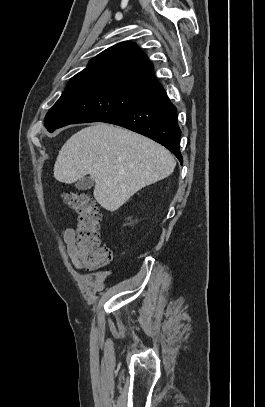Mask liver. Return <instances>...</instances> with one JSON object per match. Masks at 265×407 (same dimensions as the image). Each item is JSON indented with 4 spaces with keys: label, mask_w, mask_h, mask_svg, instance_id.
Returning a JSON list of instances; mask_svg holds the SVG:
<instances>
[{
    "label": "liver",
    "mask_w": 265,
    "mask_h": 407,
    "mask_svg": "<svg viewBox=\"0 0 265 407\" xmlns=\"http://www.w3.org/2000/svg\"><path fill=\"white\" fill-rule=\"evenodd\" d=\"M175 165L173 155L155 141L97 123L65 142L54 165V177L72 184L89 174L95 181V199L113 212L140 189L170 176Z\"/></svg>",
    "instance_id": "6515ba94"
}]
</instances>
